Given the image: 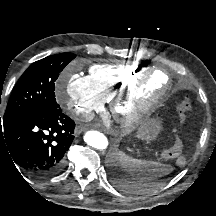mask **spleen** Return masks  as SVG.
Here are the masks:
<instances>
[{"instance_id": "obj_1", "label": "spleen", "mask_w": 216, "mask_h": 216, "mask_svg": "<svg viewBox=\"0 0 216 216\" xmlns=\"http://www.w3.org/2000/svg\"><path fill=\"white\" fill-rule=\"evenodd\" d=\"M118 161L137 184L157 179L171 171L168 165L156 161L135 159L123 152L118 153Z\"/></svg>"}]
</instances>
